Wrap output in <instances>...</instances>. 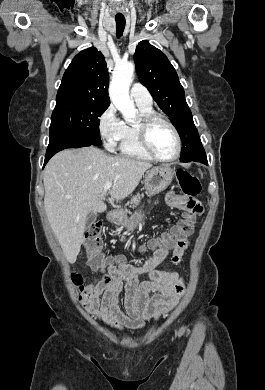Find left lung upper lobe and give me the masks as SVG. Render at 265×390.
<instances>
[{
    "label": "left lung upper lobe",
    "mask_w": 265,
    "mask_h": 390,
    "mask_svg": "<svg viewBox=\"0 0 265 390\" xmlns=\"http://www.w3.org/2000/svg\"><path fill=\"white\" fill-rule=\"evenodd\" d=\"M136 72L158 106L169 116L182 140L181 162H189L204 151L178 75L159 49L148 41L139 42L133 56Z\"/></svg>",
    "instance_id": "obj_1"
}]
</instances>
